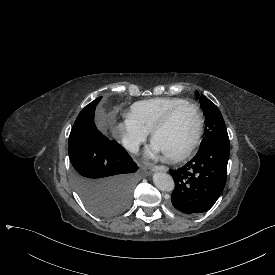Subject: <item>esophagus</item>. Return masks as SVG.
Masks as SVG:
<instances>
[{
	"instance_id": "esophagus-1",
	"label": "esophagus",
	"mask_w": 275,
	"mask_h": 275,
	"mask_svg": "<svg viewBox=\"0 0 275 275\" xmlns=\"http://www.w3.org/2000/svg\"><path fill=\"white\" fill-rule=\"evenodd\" d=\"M151 171H167V167L163 165L154 166L151 168Z\"/></svg>"
}]
</instances>
